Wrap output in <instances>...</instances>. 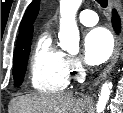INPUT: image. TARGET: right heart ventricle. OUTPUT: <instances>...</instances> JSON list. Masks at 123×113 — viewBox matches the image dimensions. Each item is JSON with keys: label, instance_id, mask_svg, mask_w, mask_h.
I'll return each mask as SVG.
<instances>
[{"label": "right heart ventricle", "instance_id": "obj_1", "mask_svg": "<svg viewBox=\"0 0 123 113\" xmlns=\"http://www.w3.org/2000/svg\"><path fill=\"white\" fill-rule=\"evenodd\" d=\"M69 78L66 55L53 45L49 33L42 34L31 58L32 87L39 92L56 93L67 87Z\"/></svg>", "mask_w": 123, "mask_h": 113}]
</instances>
